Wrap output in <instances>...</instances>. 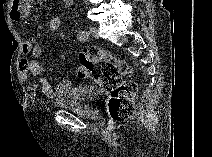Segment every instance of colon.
<instances>
[{"label":"colon","instance_id":"colon-1","mask_svg":"<svg viewBox=\"0 0 212 157\" xmlns=\"http://www.w3.org/2000/svg\"><path fill=\"white\" fill-rule=\"evenodd\" d=\"M79 78H91L109 95V114L116 121L128 119L133 113L137 83L129 79L132 67L123 59L101 48L84 49L79 53Z\"/></svg>","mask_w":212,"mask_h":157}]
</instances>
